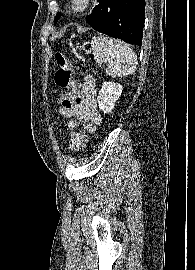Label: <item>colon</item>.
<instances>
[{
	"instance_id": "1",
	"label": "colon",
	"mask_w": 195,
	"mask_h": 270,
	"mask_svg": "<svg viewBox=\"0 0 195 270\" xmlns=\"http://www.w3.org/2000/svg\"><path fill=\"white\" fill-rule=\"evenodd\" d=\"M56 61L58 68L54 75V81L58 87L67 89L60 97L59 103L60 106L70 107L79 97L81 83L73 78L74 65L64 53L57 52ZM76 139L80 147H84L88 143V136L84 133L78 132Z\"/></svg>"
}]
</instances>
